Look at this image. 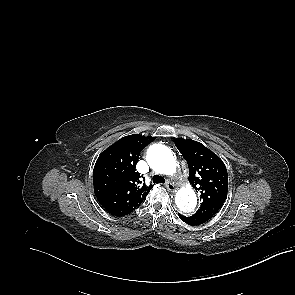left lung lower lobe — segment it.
Instances as JSON below:
<instances>
[{
	"mask_svg": "<svg viewBox=\"0 0 295 295\" xmlns=\"http://www.w3.org/2000/svg\"><path fill=\"white\" fill-rule=\"evenodd\" d=\"M179 217L187 224L189 225H200L205 223L206 221H208L209 219H211L213 217V215H209V214H203V213H195L192 216H183L181 214H179Z\"/></svg>",
	"mask_w": 295,
	"mask_h": 295,
	"instance_id": "left-lung-lower-lobe-1",
	"label": "left lung lower lobe"
}]
</instances>
